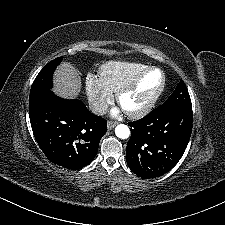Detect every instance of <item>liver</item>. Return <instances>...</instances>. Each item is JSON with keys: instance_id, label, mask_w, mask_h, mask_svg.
<instances>
[{"instance_id": "6515ba94", "label": "liver", "mask_w": 225, "mask_h": 225, "mask_svg": "<svg viewBox=\"0 0 225 225\" xmlns=\"http://www.w3.org/2000/svg\"><path fill=\"white\" fill-rule=\"evenodd\" d=\"M53 83V91L63 98H75L81 91L79 73L68 62H63L56 70Z\"/></svg>"}]
</instances>
